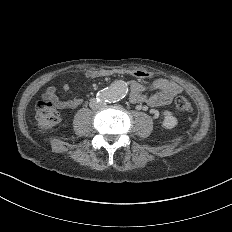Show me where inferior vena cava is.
I'll list each match as a JSON object with an SVG mask.
<instances>
[{
  "instance_id": "inferior-vena-cava-1",
  "label": "inferior vena cava",
  "mask_w": 232,
  "mask_h": 232,
  "mask_svg": "<svg viewBox=\"0 0 232 232\" xmlns=\"http://www.w3.org/2000/svg\"><path fill=\"white\" fill-rule=\"evenodd\" d=\"M89 107L93 110V111H98L101 107H102V102L98 103L95 101V99L93 98L90 102H89Z\"/></svg>"
}]
</instances>
